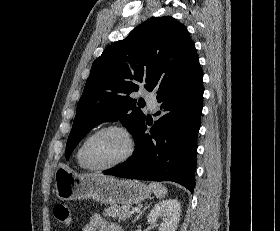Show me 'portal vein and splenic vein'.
<instances>
[{"instance_id":"1","label":"portal vein and splenic vein","mask_w":280,"mask_h":231,"mask_svg":"<svg viewBox=\"0 0 280 231\" xmlns=\"http://www.w3.org/2000/svg\"><path fill=\"white\" fill-rule=\"evenodd\" d=\"M134 211H139V209H134Z\"/></svg>"}]
</instances>
